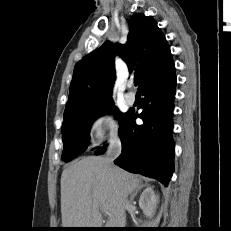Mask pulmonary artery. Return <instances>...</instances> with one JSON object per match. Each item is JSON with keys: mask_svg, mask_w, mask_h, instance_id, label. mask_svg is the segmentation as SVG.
<instances>
[{"mask_svg": "<svg viewBox=\"0 0 231 231\" xmlns=\"http://www.w3.org/2000/svg\"><path fill=\"white\" fill-rule=\"evenodd\" d=\"M132 86V83L129 84V87ZM136 100V97H135V94L133 92H128L126 95H125V102L128 104V105H132L134 104Z\"/></svg>", "mask_w": 231, "mask_h": 231, "instance_id": "pulmonary-artery-1", "label": "pulmonary artery"}]
</instances>
